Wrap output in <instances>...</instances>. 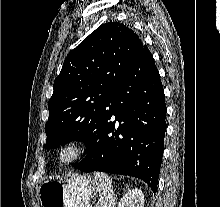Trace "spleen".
I'll list each match as a JSON object with an SVG mask.
<instances>
[{
  "label": "spleen",
  "mask_w": 220,
  "mask_h": 207,
  "mask_svg": "<svg viewBox=\"0 0 220 207\" xmlns=\"http://www.w3.org/2000/svg\"><path fill=\"white\" fill-rule=\"evenodd\" d=\"M94 179L97 181L98 192L100 193L97 207H114L116 198L109 176L105 173L96 172Z\"/></svg>",
  "instance_id": "spleen-1"
}]
</instances>
